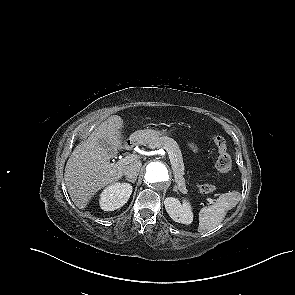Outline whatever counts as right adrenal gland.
Masks as SVG:
<instances>
[{"label":"right adrenal gland","mask_w":295,"mask_h":295,"mask_svg":"<svg viewBox=\"0 0 295 295\" xmlns=\"http://www.w3.org/2000/svg\"><path fill=\"white\" fill-rule=\"evenodd\" d=\"M125 180L128 181V182H131V183H133V184H134L135 181H136V179H128V178H126Z\"/></svg>","instance_id":"obj_1"}]
</instances>
